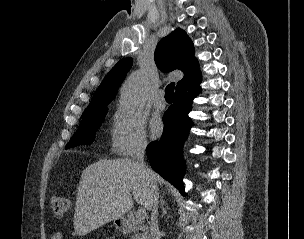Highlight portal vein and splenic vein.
Wrapping results in <instances>:
<instances>
[{
    "instance_id": "1",
    "label": "portal vein and splenic vein",
    "mask_w": 304,
    "mask_h": 239,
    "mask_svg": "<svg viewBox=\"0 0 304 239\" xmlns=\"http://www.w3.org/2000/svg\"><path fill=\"white\" fill-rule=\"evenodd\" d=\"M145 216H146V210L144 208H138V210L135 213V217L137 221H141L145 219Z\"/></svg>"
}]
</instances>
